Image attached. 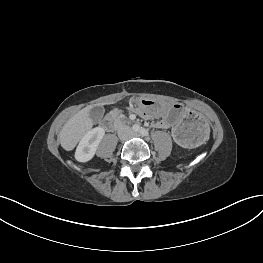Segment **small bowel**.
Listing matches in <instances>:
<instances>
[{"label": "small bowel", "mask_w": 263, "mask_h": 263, "mask_svg": "<svg viewBox=\"0 0 263 263\" xmlns=\"http://www.w3.org/2000/svg\"><path fill=\"white\" fill-rule=\"evenodd\" d=\"M135 112L140 116V117H142L143 119H146V120H149V119H151L152 117H153V114H151V113H147V112H145L144 111V109L143 108H137V109H135ZM155 127L156 128H159V129H170V128H168L167 126H165V125H162L159 121H157L156 123H155ZM171 130V129H170ZM171 133H172V136H173V131L171 130ZM173 138H174V136H173ZM175 140V139H174ZM176 141V140H175ZM177 142V141H176ZM178 144H180L179 142H177Z\"/></svg>", "instance_id": "small-bowel-1"}]
</instances>
